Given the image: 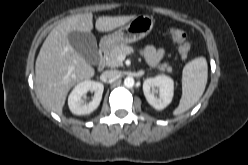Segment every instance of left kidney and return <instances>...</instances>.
<instances>
[{
  "instance_id": "left-kidney-1",
  "label": "left kidney",
  "mask_w": 248,
  "mask_h": 165,
  "mask_svg": "<svg viewBox=\"0 0 248 165\" xmlns=\"http://www.w3.org/2000/svg\"><path fill=\"white\" fill-rule=\"evenodd\" d=\"M143 92L147 102L156 110L166 108L172 101L174 81L166 75L148 78L143 83ZM158 94V96L156 95Z\"/></svg>"
}]
</instances>
